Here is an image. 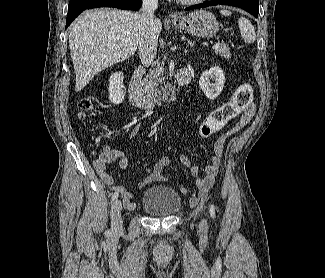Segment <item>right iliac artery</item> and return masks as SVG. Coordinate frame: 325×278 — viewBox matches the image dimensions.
<instances>
[{"mask_svg": "<svg viewBox=\"0 0 325 278\" xmlns=\"http://www.w3.org/2000/svg\"><path fill=\"white\" fill-rule=\"evenodd\" d=\"M117 198H118V193L115 192L114 194H112L111 202L115 201Z\"/></svg>", "mask_w": 325, "mask_h": 278, "instance_id": "right-iliac-artery-1", "label": "right iliac artery"}]
</instances>
